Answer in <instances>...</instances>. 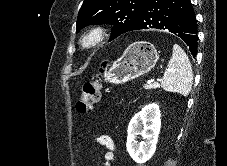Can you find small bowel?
<instances>
[{"instance_id":"1","label":"small bowel","mask_w":227,"mask_h":166,"mask_svg":"<svg viewBox=\"0 0 227 166\" xmlns=\"http://www.w3.org/2000/svg\"><path fill=\"white\" fill-rule=\"evenodd\" d=\"M94 141L108 150V152L104 156L105 158L104 164L105 166H111V164L115 161V157L113 153L114 144L112 139L107 135H102V136L96 137Z\"/></svg>"}]
</instances>
